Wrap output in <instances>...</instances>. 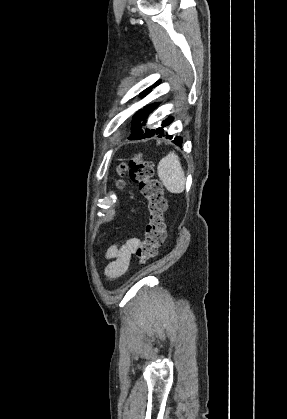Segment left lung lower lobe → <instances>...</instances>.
<instances>
[{"mask_svg":"<svg viewBox=\"0 0 287 419\" xmlns=\"http://www.w3.org/2000/svg\"><path fill=\"white\" fill-rule=\"evenodd\" d=\"M158 106V103H154L151 104L147 107H145L143 110H141L140 112H138L136 115L133 116V120H132V126H131V135L128 137L129 140H139V139H143V138H150L154 135H158V137H162L165 136V132H164V127L168 126L172 121L173 118L172 117H168L166 120H164L162 122L161 127L157 128V129H146L143 130L142 129V125L141 124L142 121L146 122V118L149 116V114ZM166 136L171 139L172 136H168L166 133ZM173 142L176 145H181L182 144V138L181 137H175Z\"/></svg>","mask_w":287,"mask_h":419,"instance_id":"obj_1","label":"left lung lower lobe"}]
</instances>
